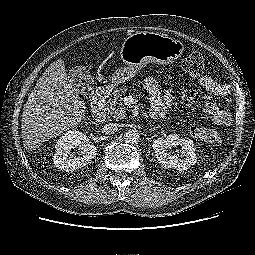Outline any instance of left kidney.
I'll return each instance as SVG.
<instances>
[{"instance_id": "5707ae66", "label": "left kidney", "mask_w": 255, "mask_h": 255, "mask_svg": "<svg viewBox=\"0 0 255 255\" xmlns=\"http://www.w3.org/2000/svg\"><path fill=\"white\" fill-rule=\"evenodd\" d=\"M177 145L182 147V158H179L175 154L170 155L166 152V149L176 147ZM152 147L158 161L165 168H175L179 171H184L187 170L191 165H194L197 160L193 141L188 138H180L176 134L169 135L165 139H156L153 142Z\"/></svg>"}]
</instances>
